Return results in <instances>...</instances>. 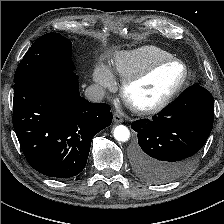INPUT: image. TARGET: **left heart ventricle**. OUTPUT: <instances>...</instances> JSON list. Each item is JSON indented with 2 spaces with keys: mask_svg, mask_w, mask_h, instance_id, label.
<instances>
[{
  "mask_svg": "<svg viewBox=\"0 0 224 224\" xmlns=\"http://www.w3.org/2000/svg\"><path fill=\"white\" fill-rule=\"evenodd\" d=\"M182 75L181 65L167 64L135 83L129 90V96L138 106H152L162 100L178 84Z\"/></svg>",
  "mask_w": 224,
  "mask_h": 224,
  "instance_id": "left-heart-ventricle-1",
  "label": "left heart ventricle"
}]
</instances>
